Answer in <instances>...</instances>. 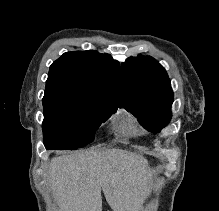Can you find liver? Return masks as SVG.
<instances>
[{
	"instance_id": "1",
	"label": "liver",
	"mask_w": 219,
	"mask_h": 211,
	"mask_svg": "<svg viewBox=\"0 0 219 211\" xmlns=\"http://www.w3.org/2000/svg\"><path fill=\"white\" fill-rule=\"evenodd\" d=\"M147 159L127 149L73 151L53 157L45 181L61 211H102L101 189L113 211H139Z\"/></svg>"
}]
</instances>
